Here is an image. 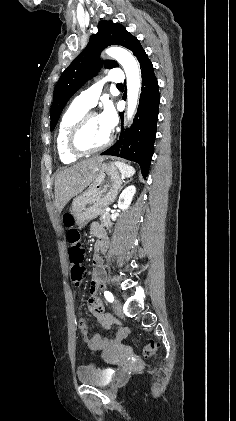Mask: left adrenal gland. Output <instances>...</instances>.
<instances>
[{
    "label": "left adrenal gland",
    "instance_id": "left-adrenal-gland-1",
    "mask_svg": "<svg viewBox=\"0 0 236 421\" xmlns=\"http://www.w3.org/2000/svg\"><path fill=\"white\" fill-rule=\"evenodd\" d=\"M130 180H132V178H130ZM127 182H129V180H127ZM123 186H125V184H123Z\"/></svg>",
    "mask_w": 236,
    "mask_h": 421
}]
</instances>
